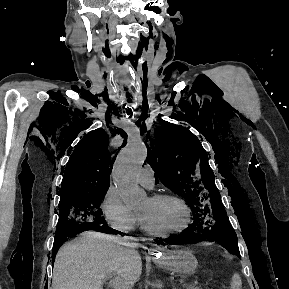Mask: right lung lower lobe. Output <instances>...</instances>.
Returning a JSON list of instances; mask_svg holds the SVG:
<instances>
[{
  "label": "right lung lower lobe",
  "instance_id": "obj_1",
  "mask_svg": "<svg viewBox=\"0 0 289 289\" xmlns=\"http://www.w3.org/2000/svg\"><path fill=\"white\" fill-rule=\"evenodd\" d=\"M86 230H97V231H100L102 233H114V234H121L119 233V231H116L110 227L107 226V224H103L101 226H98V227H92V228H87V229H82V230H77L75 232H72V233H69L68 235H65V236H55V241H54V246H53V262L55 260V256H56V253L61 245V243L67 238V237H70V236H74L78 233H81L83 231H86Z\"/></svg>",
  "mask_w": 289,
  "mask_h": 289
}]
</instances>
